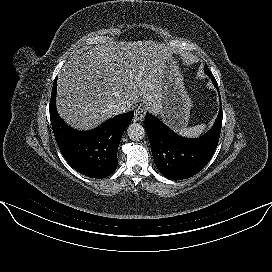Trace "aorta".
Instances as JSON below:
<instances>
[{"instance_id": "762f6f07", "label": "aorta", "mask_w": 272, "mask_h": 272, "mask_svg": "<svg viewBox=\"0 0 272 272\" xmlns=\"http://www.w3.org/2000/svg\"><path fill=\"white\" fill-rule=\"evenodd\" d=\"M127 134L132 141H140L145 136V129L139 123H132L128 126Z\"/></svg>"}]
</instances>
